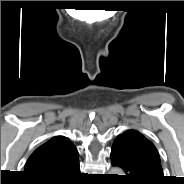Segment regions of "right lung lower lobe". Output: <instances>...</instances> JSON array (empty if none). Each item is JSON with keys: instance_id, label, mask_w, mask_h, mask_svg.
I'll return each instance as SVG.
<instances>
[{"instance_id": "1", "label": "right lung lower lobe", "mask_w": 184, "mask_h": 184, "mask_svg": "<svg viewBox=\"0 0 184 184\" xmlns=\"http://www.w3.org/2000/svg\"><path fill=\"white\" fill-rule=\"evenodd\" d=\"M80 174L79 160H74L62 172L51 178L34 179L35 184H72Z\"/></svg>"}]
</instances>
